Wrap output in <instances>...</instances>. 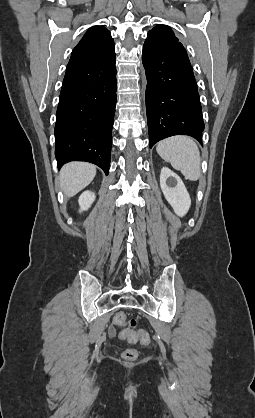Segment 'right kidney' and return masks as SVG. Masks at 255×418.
<instances>
[{
  "label": "right kidney",
  "mask_w": 255,
  "mask_h": 418,
  "mask_svg": "<svg viewBox=\"0 0 255 418\" xmlns=\"http://www.w3.org/2000/svg\"><path fill=\"white\" fill-rule=\"evenodd\" d=\"M95 200V194L91 191H85L83 192L79 199V206H80V212L82 211H86L90 208V206L92 205V203Z\"/></svg>",
  "instance_id": "right-kidney-1"
}]
</instances>
